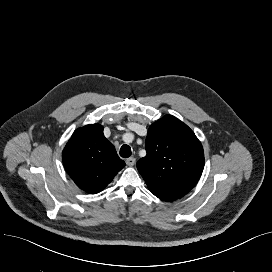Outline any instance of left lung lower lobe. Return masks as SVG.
<instances>
[{"label":"left lung lower lobe","mask_w":272,"mask_h":272,"mask_svg":"<svg viewBox=\"0 0 272 272\" xmlns=\"http://www.w3.org/2000/svg\"><path fill=\"white\" fill-rule=\"evenodd\" d=\"M156 197H158L161 200L164 201H174L176 199H179V197L167 194V193H160V192H152Z\"/></svg>","instance_id":"left-lung-lower-lobe-1"}]
</instances>
